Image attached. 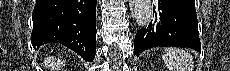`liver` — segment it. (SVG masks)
Here are the masks:
<instances>
[{
	"label": "liver",
	"instance_id": "liver-1",
	"mask_svg": "<svg viewBox=\"0 0 230 71\" xmlns=\"http://www.w3.org/2000/svg\"><path fill=\"white\" fill-rule=\"evenodd\" d=\"M46 63L48 64V66H50V68L52 70L56 69V68H59V62L56 63L54 60L48 59V60H46Z\"/></svg>",
	"mask_w": 230,
	"mask_h": 71
}]
</instances>
